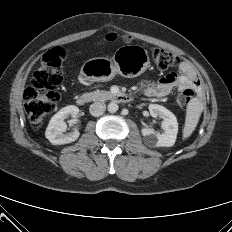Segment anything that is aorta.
Returning a JSON list of instances; mask_svg holds the SVG:
<instances>
[{
	"mask_svg": "<svg viewBox=\"0 0 232 232\" xmlns=\"http://www.w3.org/2000/svg\"><path fill=\"white\" fill-rule=\"evenodd\" d=\"M107 108L110 113H115L118 111V104L115 102H110Z\"/></svg>",
	"mask_w": 232,
	"mask_h": 232,
	"instance_id": "762f6f07",
	"label": "aorta"
}]
</instances>
